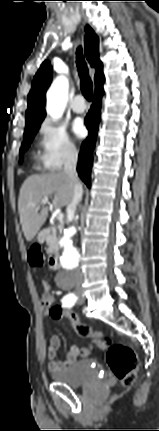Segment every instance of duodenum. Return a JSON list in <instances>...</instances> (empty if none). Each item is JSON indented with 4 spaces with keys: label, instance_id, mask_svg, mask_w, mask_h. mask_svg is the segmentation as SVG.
Segmentation results:
<instances>
[{
    "label": "duodenum",
    "instance_id": "410a0bca",
    "mask_svg": "<svg viewBox=\"0 0 159 431\" xmlns=\"http://www.w3.org/2000/svg\"><path fill=\"white\" fill-rule=\"evenodd\" d=\"M50 234V230L49 229H44L40 232V239L42 241L47 240L48 236ZM49 266L51 269L53 270H57L60 268V255L59 253L55 252L51 255L50 259H49Z\"/></svg>",
    "mask_w": 159,
    "mask_h": 431
}]
</instances>
